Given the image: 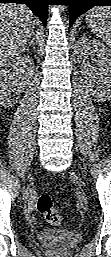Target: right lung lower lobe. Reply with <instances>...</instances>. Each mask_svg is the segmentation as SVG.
Masks as SVG:
<instances>
[{
	"label": "right lung lower lobe",
	"instance_id": "obj_1",
	"mask_svg": "<svg viewBox=\"0 0 111 257\" xmlns=\"http://www.w3.org/2000/svg\"><path fill=\"white\" fill-rule=\"evenodd\" d=\"M0 3L26 4L41 19L43 25H46L50 0H0Z\"/></svg>",
	"mask_w": 111,
	"mask_h": 257
}]
</instances>
